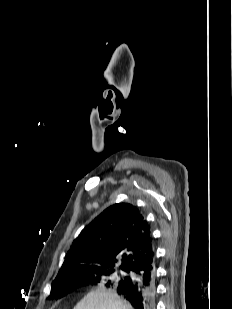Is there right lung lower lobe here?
Wrapping results in <instances>:
<instances>
[{
    "label": "right lung lower lobe",
    "mask_w": 232,
    "mask_h": 309,
    "mask_svg": "<svg viewBox=\"0 0 232 309\" xmlns=\"http://www.w3.org/2000/svg\"><path fill=\"white\" fill-rule=\"evenodd\" d=\"M126 279L115 290L135 309H156L154 257H144L125 271Z\"/></svg>",
    "instance_id": "obj_1"
}]
</instances>
